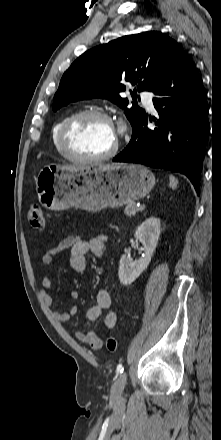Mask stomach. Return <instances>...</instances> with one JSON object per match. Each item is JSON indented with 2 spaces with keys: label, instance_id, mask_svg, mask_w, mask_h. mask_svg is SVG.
Masks as SVG:
<instances>
[{
  "label": "stomach",
  "instance_id": "stomach-1",
  "mask_svg": "<svg viewBox=\"0 0 221 440\" xmlns=\"http://www.w3.org/2000/svg\"><path fill=\"white\" fill-rule=\"evenodd\" d=\"M154 184V174L138 164L48 165L36 178V191L47 209L60 211L75 206L95 212L141 199Z\"/></svg>",
  "mask_w": 221,
  "mask_h": 440
}]
</instances>
